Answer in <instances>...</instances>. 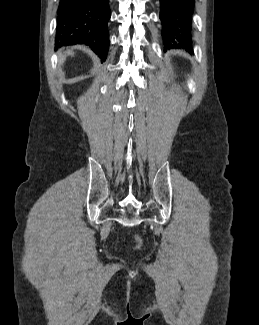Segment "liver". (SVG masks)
<instances>
[{
	"label": "liver",
	"instance_id": "liver-1",
	"mask_svg": "<svg viewBox=\"0 0 259 325\" xmlns=\"http://www.w3.org/2000/svg\"><path fill=\"white\" fill-rule=\"evenodd\" d=\"M73 54H74V53H73L71 50L66 51V52H65V56H64L63 54L60 53V54H59V64L61 65V64L64 63L66 55H73Z\"/></svg>",
	"mask_w": 259,
	"mask_h": 325
}]
</instances>
